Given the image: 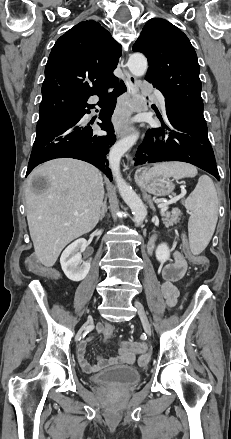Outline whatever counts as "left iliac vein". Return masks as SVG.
Listing matches in <instances>:
<instances>
[{"mask_svg":"<svg viewBox=\"0 0 231 439\" xmlns=\"http://www.w3.org/2000/svg\"><path fill=\"white\" fill-rule=\"evenodd\" d=\"M134 305L137 308V312H138V315H139V317L141 319V322H142V325H143V328H144L145 332L148 335H151L152 334L151 325H150V322L148 320V317L146 315V312L144 310L143 305L138 300L134 301Z\"/></svg>","mask_w":231,"mask_h":439,"instance_id":"4c4485c4","label":"left iliac vein"}]
</instances>
